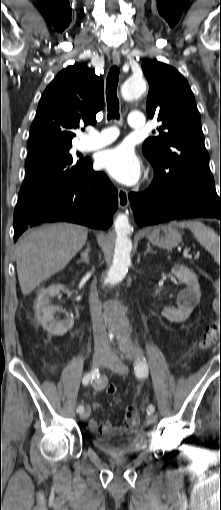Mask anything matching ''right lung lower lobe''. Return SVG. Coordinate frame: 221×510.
I'll list each match as a JSON object with an SVG mask.
<instances>
[{"instance_id":"1","label":"right lung lower lobe","mask_w":221,"mask_h":510,"mask_svg":"<svg viewBox=\"0 0 221 510\" xmlns=\"http://www.w3.org/2000/svg\"><path fill=\"white\" fill-rule=\"evenodd\" d=\"M118 206V192L103 172H95L89 160L73 182L32 199L14 213V241L28 228L45 222L67 221L107 229Z\"/></svg>"}]
</instances>
